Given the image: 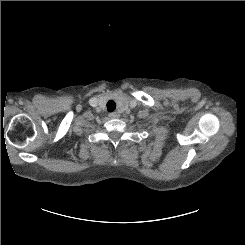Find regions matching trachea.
<instances>
[{"label":"trachea","mask_w":245,"mask_h":245,"mask_svg":"<svg viewBox=\"0 0 245 245\" xmlns=\"http://www.w3.org/2000/svg\"><path fill=\"white\" fill-rule=\"evenodd\" d=\"M115 108H116V103L113 100H109L107 102V110L109 112H113L115 110Z\"/></svg>","instance_id":"1"}]
</instances>
